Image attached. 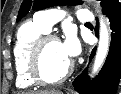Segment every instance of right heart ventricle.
Masks as SVG:
<instances>
[{
  "label": "right heart ventricle",
  "mask_w": 121,
  "mask_h": 94,
  "mask_svg": "<svg viewBox=\"0 0 121 94\" xmlns=\"http://www.w3.org/2000/svg\"><path fill=\"white\" fill-rule=\"evenodd\" d=\"M48 33L39 23L29 21L24 23L17 34L13 48V58L16 71V83L22 89H29L35 86L27 70V55L33 41L39 36Z\"/></svg>",
  "instance_id": "e07e8e85"
}]
</instances>
